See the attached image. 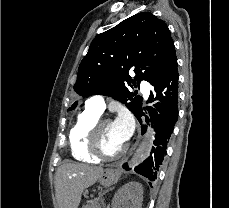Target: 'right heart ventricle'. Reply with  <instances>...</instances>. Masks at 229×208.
Masks as SVG:
<instances>
[{"label": "right heart ventricle", "instance_id": "obj_1", "mask_svg": "<svg viewBox=\"0 0 229 208\" xmlns=\"http://www.w3.org/2000/svg\"><path fill=\"white\" fill-rule=\"evenodd\" d=\"M100 115L96 112L85 108L79 114L75 124L69 132L68 143L73 160L79 163H94L98 158H93V153H86L85 149L89 148V129L93 122L99 119Z\"/></svg>", "mask_w": 229, "mask_h": 208}]
</instances>
